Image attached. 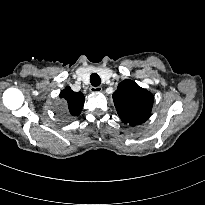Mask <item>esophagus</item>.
<instances>
[{"instance_id": "esophagus-1", "label": "esophagus", "mask_w": 205, "mask_h": 205, "mask_svg": "<svg viewBox=\"0 0 205 205\" xmlns=\"http://www.w3.org/2000/svg\"><path fill=\"white\" fill-rule=\"evenodd\" d=\"M90 91H91L92 93H100V92L102 91V88H101L100 86H97V87L92 86V87L90 88Z\"/></svg>"}]
</instances>
